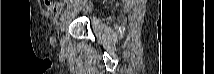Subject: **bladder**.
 <instances>
[{
	"label": "bladder",
	"mask_w": 214,
	"mask_h": 74,
	"mask_svg": "<svg viewBox=\"0 0 214 74\" xmlns=\"http://www.w3.org/2000/svg\"><path fill=\"white\" fill-rule=\"evenodd\" d=\"M99 19V16L96 17V20Z\"/></svg>",
	"instance_id": "1"
}]
</instances>
